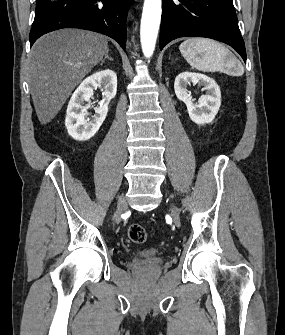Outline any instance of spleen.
Instances as JSON below:
<instances>
[{
	"label": "spleen",
	"mask_w": 285,
	"mask_h": 335,
	"mask_svg": "<svg viewBox=\"0 0 285 335\" xmlns=\"http://www.w3.org/2000/svg\"><path fill=\"white\" fill-rule=\"evenodd\" d=\"M179 50L186 62L201 70V72H212V70H224V68H238L239 74H243L244 68L230 50L225 46L209 40V38H187L179 46ZM238 64V66H236Z\"/></svg>",
	"instance_id": "spleen-1"
}]
</instances>
